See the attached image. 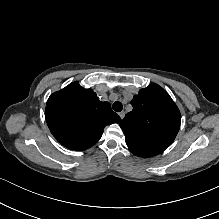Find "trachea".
Wrapping results in <instances>:
<instances>
[{"mask_svg": "<svg viewBox=\"0 0 219 219\" xmlns=\"http://www.w3.org/2000/svg\"><path fill=\"white\" fill-rule=\"evenodd\" d=\"M112 108H113L114 111L120 112L123 109V105H122L121 102L116 101V102L113 103Z\"/></svg>", "mask_w": 219, "mask_h": 219, "instance_id": "trachea-1", "label": "trachea"}]
</instances>
